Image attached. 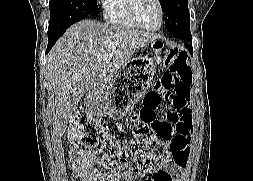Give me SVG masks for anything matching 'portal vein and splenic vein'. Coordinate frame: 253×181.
Returning <instances> with one entry per match:
<instances>
[{
    "mask_svg": "<svg viewBox=\"0 0 253 181\" xmlns=\"http://www.w3.org/2000/svg\"><path fill=\"white\" fill-rule=\"evenodd\" d=\"M112 56H113L112 54H108V55H107V57H109V58H112Z\"/></svg>",
    "mask_w": 253,
    "mask_h": 181,
    "instance_id": "18ae733b",
    "label": "portal vein and splenic vein"
}]
</instances>
